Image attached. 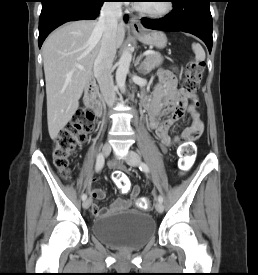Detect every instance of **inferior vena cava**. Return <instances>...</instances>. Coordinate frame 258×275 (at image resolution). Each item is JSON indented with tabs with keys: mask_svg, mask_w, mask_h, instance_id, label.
<instances>
[{
	"mask_svg": "<svg viewBox=\"0 0 258 275\" xmlns=\"http://www.w3.org/2000/svg\"><path fill=\"white\" fill-rule=\"evenodd\" d=\"M121 17L122 10L119 2H105L97 22V28L102 29L103 36L99 53L94 61V75L109 107H112L116 100L112 64L116 55V32Z\"/></svg>",
	"mask_w": 258,
	"mask_h": 275,
	"instance_id": "obj_1",
	"label": "inferior vena cava"
}]
</instances>
